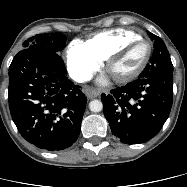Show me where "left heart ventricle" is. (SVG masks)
<instances>
[{"instance_id": "1", "label": "left heart ventricle", "mask_w": 187, "mask_h": 187, "mask_svg": "<svg viewBox=\"0 0 187 187\" xmlns=\"http://www.w3.org/2000/svg\"><path fill=\"white\" fill-rule=\"evenodd\" d=\"M147 50V45L144 42L133 44L110 65L109 73L113 77H120L133 72L143 62Z\"/></svg>"}]
</instances>
